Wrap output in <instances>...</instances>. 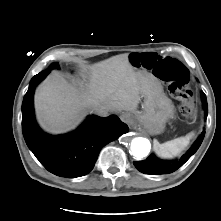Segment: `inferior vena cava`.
Wrapping results in <instances>:
<instances>
[{"label":"inferior vena cava","mask_w":221,"mask_h":221,"mask_svg":"<svg viewBox=\"0 0 221 221\" xmlns=\"http://www.w3.org/2000/svg\"><path fill=\"white\" fill-rule=\"evenodd\" d=\"M108 110L107 109H105V108H97V109H95V113L97 114V115H99V116H102V117H105V116H107L108 115Z\"/></svg>","instance_id":"602c4592"}]
</instances>
